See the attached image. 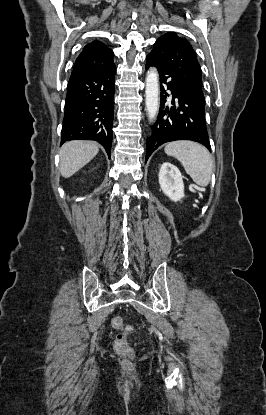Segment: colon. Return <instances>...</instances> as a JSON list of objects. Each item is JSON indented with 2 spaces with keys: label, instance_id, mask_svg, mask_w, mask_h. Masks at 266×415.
Segmentation results:
<instances>
[{
  "label": "colon",
  "instance_id": "5ec220e1",
  "mask_svg": "<svg viewBox=\"0 0 266 415\" xmlns=\"http://www.w3.org/2000/svg\"><path fill=\"white\" fill-rule=\"evenodd\" d=\"M111 325L114 329L120 331L114 340V348L116 352L122 356L131 357L133 351L128 344V336L133 330L132 327L128 325L120 316L113 317Z\"/></svg>",
  "mask_w": 266,
  "mask_h": 415
}]
</instances>
